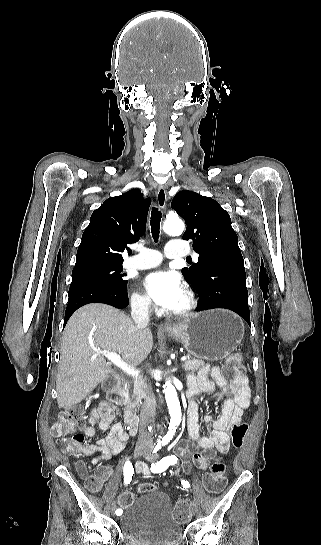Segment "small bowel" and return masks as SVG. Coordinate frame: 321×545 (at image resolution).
<instances>
[{"instance_id":"small-bowel-1","label":"small bowel","mask_w":321,"mask_h":545,"mask_svg":"<svg viewBox=\"0 0 321 545\" xmlns=\"http://www.w3.org/2000/svg\"><path fill=\"white\" fill-rule=\"evenodd\" d=\"M221 388L228 393L223 403L221 412L216 419L212 415H206L204 422L212 424V430L208 435H202L199 424L198 398L210 393L216 388ZM187 397L190 399L188 409V439L181 440L175 446L176 454L182 459L188 470L192 465L199 470H205L215 451L226 453L229 449L228 430L231 425L241 420L244 410L250 404L251 393L247 385L246 377L234 379L231 383L223 376L218 367L204 366L197 376L188 377ZM116 413L108 402H101L94 408L89 417V426L84 430L87 437L92 438L96 434L95 426L106 432L105 437L99 438L94 444L86 445L83 454L91 456L98 453L91 463L98 465L103 461L119 455L125 448L128 433L121 424L115 423ZM110 464L101 465L97 470V476L102 482L112 474ZM138 474L149 475V467L144 463H138L135 467Z\"/></svg>"}]
</instances>
